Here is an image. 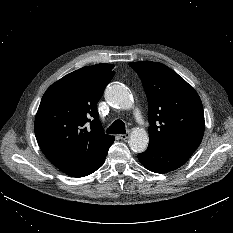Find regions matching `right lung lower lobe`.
<instances>
[{
    "instance_id": "1",
    "label": "right lung lower lobe",
    "mask_w": 233,
    "mask_h": 233,
    "mask_svg": "<svg viewBox=\"0 0 233 233\" xmlns=\"http://www.w3.org/2000/svg\"><path fill=\"white\" fill-rule=\"evenodd\" d=\"M112 143L106 149H104L95 159L83 165L82 167L75 169L74 171L68 172L67 174L72 177H84L95 172L104 163L109 147L112 145Z\"/></svg>"
}]
</instances>
